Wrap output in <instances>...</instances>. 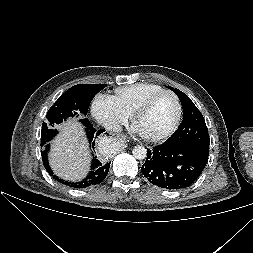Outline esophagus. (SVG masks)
Segmentation results:
<instances>
[{
    "mask_svg": "<svg viewBox=\"0 0 253 253\" xmlns=\"http://www.w3.org/2000/svg\"><path fill=\"white\" fill-rule=\"evenodd\" d=\"M116 137L119 140H125L126 139V137L124 135H117Z\"/></svg>",
    "mask_w": 253,
    "mask_h": 253,
    "instance_id": "esophagus-1",
    "label": "esophagus"
}]
</instances>
